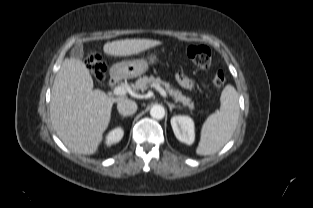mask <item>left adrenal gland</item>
I'll list each match as a JSON object with an SVG mask.
<instances>
[{"label": "left adrenal gland", "mask_w": 313, "mask_h": 208, "mask_svg": "<svg viewBox=\"0 0 313 208\" xmlns=\"http://www.w3.org/2000/svg\"><path fill=\"white\" fill-rule=\"evenodd\" d=\"M166 103H167V105H168V107H169V109H170L171 112H172V109H173V108H180V106H176V105L171 104V103H169V102H166Z\"/></svg>", "instance_id": "left-adrenal-gland-1"}]
</instances>
